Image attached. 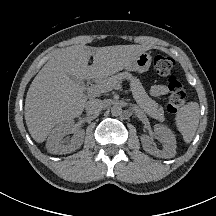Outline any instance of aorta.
Here are the masks:
<instances>
[{
	"mask_svg": "<svg viewBox=\"0 0 216 216\" xmlns=\"http://www.w3.org/2000/svg\"><path fill=\"white\" fill-rule=\"evenodd\" d=\"M111 114L113 116H119L122 114V107L120 105H114L111 107Z\"/></svg>",
	"mask_w": 216,
	"mask_h": 216,
	"instance_id": "obj_1",
	"label": "aorta"
}]
</instances>
